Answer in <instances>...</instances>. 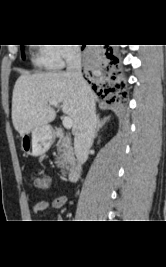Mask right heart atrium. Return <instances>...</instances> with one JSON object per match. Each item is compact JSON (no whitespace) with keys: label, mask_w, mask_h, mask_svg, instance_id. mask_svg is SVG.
I'll return each instance as SVG.
<instances>
[{"label":"right heart atrium","mask_w":166,"mask_h":267,"mask_svg":"<svg viewBox=\"0 0 166 267\" xmlns=\"http://www.w3.org/2000/svg\"><path fill=\"white\" fill-rule=\"evenodd\" d=\"M47 66L50 69L61 68L66 61L77 56V51L73 46L49 44L46 47Z\"/></svg>","instance_id":"1"}]
</instances>
